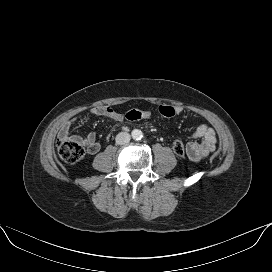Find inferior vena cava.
<instances>
[{
    "label": "inferior vena cava",
    "instance_id": "obj_1",
    "mask_svg": "<svg viewBox=\"0 0 272 272\" xmlns=\"http://www.w3.org/2000/svg\"><path fill=\"white\" fill-rule=\"evenodd\" d=\"M131 136L127 133V132H120L117 136H116V143L119 145H123L126 144L130 141Z\"/></svg>",
    "mask_w": 272,
    "mask_h": 272
}]
</instances>
